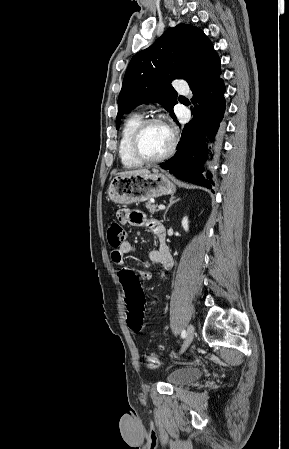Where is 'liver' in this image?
Returning <instances> with one entry per match:
<instances>
[{
  "instance_id": "6515ba94",
  "label": "liver",
  "mask_w": 289,
  "mask_h": 449,
  "mask_svg": "<svg viewBox=\"0 0 289 449\" xmlns=\"http://www.w3.org/2000/svg\"><path fill=\"white\" fill-rule=\"evenodd\" d=\"M150 171L148 169H137L131 171L121 172L118 175H140V174H148Z\"/></svg>"
}]
</instances>
